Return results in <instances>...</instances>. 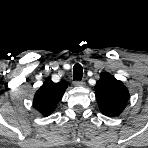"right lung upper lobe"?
<instances>
[{"label":"right lung upper lobe","instance_id":"right-lung-upper-lobe-1","mask_svg":"<svg viewBox=\"0 0 148 148\" xmlns=\"http://www.w3.org/2000/svg\"><path fill=\"white\" fill-rule=\"evenodd\" d=\"M67 87V81L54 83L50 78H47L34 96V107L42 115L49 116L56 109V105L61 100Z\"/></svg>","mask_w":148,"mask_h":148}]
</instances>
